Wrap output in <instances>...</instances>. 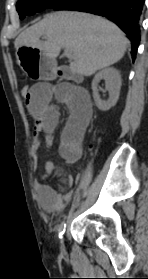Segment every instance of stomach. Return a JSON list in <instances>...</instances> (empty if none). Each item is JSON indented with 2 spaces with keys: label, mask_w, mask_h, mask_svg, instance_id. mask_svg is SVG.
<instances>
[{
  "label": "stomach",
  "mask_w": 148,
  "mask_h": 279,
  "mask_svg": "<svg viewBox=\"0 0 148 279\" xmlns=\"http://www.w3.org/2000/svg\"><path fill=\"white\" fill-rule=\"evenodd\" d=\"M26 48L30 50L18 49L15 52L21 75H25L28 82H58L56 62L49 58V54H44L43 50Z\"/></svg>",
  "instance_id": "0dacf381"
}]
</instances>
